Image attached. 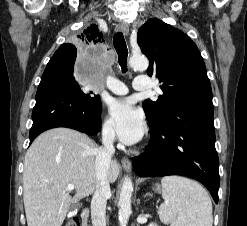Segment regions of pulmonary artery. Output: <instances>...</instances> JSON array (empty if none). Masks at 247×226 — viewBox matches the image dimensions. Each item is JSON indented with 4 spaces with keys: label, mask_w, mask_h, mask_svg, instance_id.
Here are the masks:
<instances>
[{
    "label": "pulmonary artery",
    "mask_w": 247,
    "mask_h": 226,
    "mask_svg": "<svg viewBox=\"0 0 247 226\" xmlns=\"http://www.w3.org/2000/svg\"><path fill=\"white\" fill-rule=\"evenodd\" d=\"M107 88L114 94L125 95L128 93V87L120 80L110 77L107 80ZM151 87L150 81L146 76H137L133 82V88L135 90L143 91Z\"/></svg>",
    "instance_id": "obj_1"
}]
</instances>
